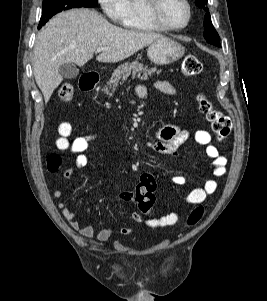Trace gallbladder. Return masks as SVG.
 <instances>
[{
    "instance_id": "1",
    "label": "gallbladder",
    "mask_w": 267,
    "mask_h": 301,
    "mask_svg": "<svg viewBox=\"0 0 267 301\" xmlns=\"http://www.w3.org/2000/svg\"><path fill=\"white\" fill-rule=\"evenodd\" d=\"M59 73L63 78L74 79L79 75V69L74 63H64L60 66Z\"/></svg>"
}]
</instances>
